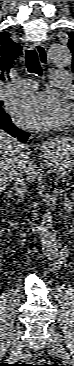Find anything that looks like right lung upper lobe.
<instances>
[{"label":"right lung upper lobe","mask_w":74,"mask_h":366,"mask_svg":"<svg viewBox=\"0 0 74 366\" xmlns=\"http://www.w3.org/2000/svg\"><path fill=\"white\" fill-rule=\"evenodd\" d=\"M18 43L12 41L8 34L0 33V83L12 67L13 61L21 54Z\"/></svg>","instance_id":"cb5924a9"}]
</instances>
